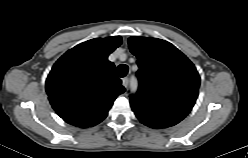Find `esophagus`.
I'll return each mask as SVG.
<instances>
[{
    "label": "esophagus",
    "instance_id": "34e87169",
    "mask_svg": "<svg viewBox=\"0 0 248 158\" xmlns=\"http://www.w3.org/2000/svg\"><path fill=\"white\" fill-rule=\"evenodd\" d=\"M128 83H129L128 77H124V78L122 79V85H123L125 88H127V87H128Z\"/></svg>",
    "mask_w": 248,
    "mask_h": 158
}]
</instances>
